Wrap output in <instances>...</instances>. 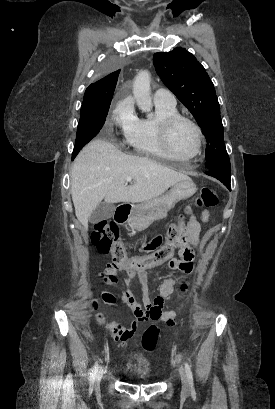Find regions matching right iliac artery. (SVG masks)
<instances>
[{"mask_svg":"<svg viewBox=\"0 0 275 409\" xmlns=\"http://www.w3.org/2000/svg\"><path fill=\"white\" fill-rule=\"evenodd\" d=\"M98 368H99V365H98V362H96L93 369H92V372L90 373V382L91 383H93L95 381L96 374L98 372Z\"/></svg>","mask_w":275,"mask_h":409,"instance_id":"right-iliac-artery-1","label":"right iliac artery"}]
</instances>
